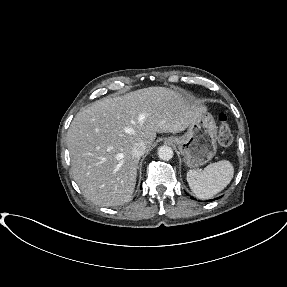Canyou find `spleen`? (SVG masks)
Masks as SVG:
<instances>
[{"label":"spleen","mask_w":287,"mask_h":287,"mask_svg":"<svg viewBox=\"0 0 287 287\" xmlns=\"http://www.w3.org/2000/svg\"><path fill=\"white\" fill-rule=\"evenodd\" d=\"M234 167L227 160L209 164L204 170H189L187 182L199 199H210L221 192L231 182Z\"/></svg>","instance_id":"3e777b00"}]
</instances>
